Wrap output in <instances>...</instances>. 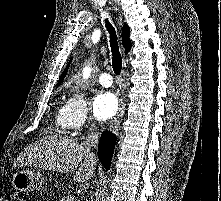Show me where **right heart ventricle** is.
I'll return each instance as SVG.
<instances>
[{
  "label": "right heart ventricle",
  "mask_w": 221,
  "mask_h": 201,
  "mask_svg": "<svg viewBox=\"0 0 221 201\" xmlns=\"http://www.w3.org/2000/svg\"><path fill=\"white\" fill-rule=\"evenodd\" d=\"M56 123L63 132L70 130L68 123L67 103L60 106L56 116Z\"/></svg>",
  "instance_id": "1"
}]
</instances>
